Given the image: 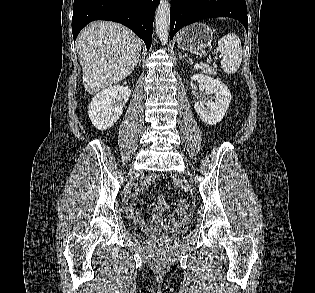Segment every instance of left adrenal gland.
Returning <instances> with one entry per match:
<instances>
[{
	"mask_svg": "<svg viewBox=\"0 0 315 293\" xmlns=\"http://www.w3.org/2000/svg\"><path fill=\"white\" fill-rule=\"evenodd\" d=\"M185 58V56L182 55L181 52H179V59Z\"/></svg>",
	"mask_w": 315,
	"mask_h": 293,
	"instance_id": "a2214340",
	"label": "left adrenal gland"
}]
</instances>
